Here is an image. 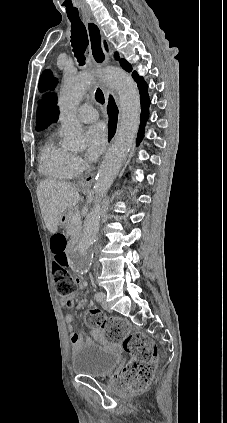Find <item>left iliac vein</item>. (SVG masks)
<instances>
[{
    "mask_svg": "<svg viewBox=\"0 0 227 423\" xmlns=\"http://www.w3.org/2000/svg\"><path fill=\"white\" fill-rule=\"evenodd\" d=\"M100 294H101V296H102V298H103V300L101 301L103 308H104L105 310L110 311V306H109V303L105 300V299H106L105 294H104V293H100Z\"/></svg>",
    "mask_w": 227,
    "mask_h": 423,
    "instance_id": "4c4485c4",
    "label": "left iliac vein"
}]
</instances>
